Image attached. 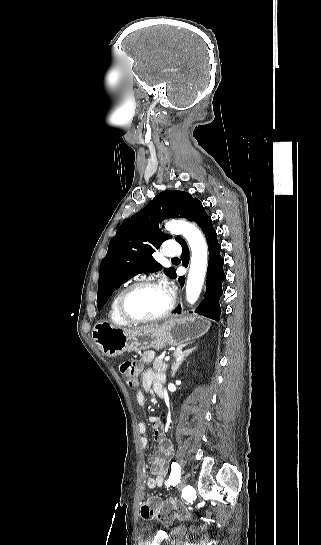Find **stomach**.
<instances>
[{
    "mask_svg": "<svg viewBox=\"0 0 321 545\" xmlns=\"http://www.w3.org/2000/svg\"><path fill=\"white\" fill-rule=\"evenodd\" d=\"M210 327L209 321L203 317H173L162 325H154L151 329H138L128 331L113 327L110 323H96L93 327L92 337L96 347H99L103 355L116 357L125 351H145V349H164L182 347L184 343L199 339L207 333Z\"/></svg>",
    "mask_w": 321,
    "mask_h": 545,
    "instance_id": "1",
    "label": "stomach"
}]
</instances>
